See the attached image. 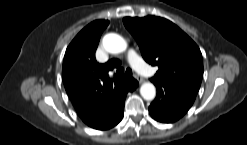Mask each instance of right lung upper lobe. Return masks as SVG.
<instances>
[{"label": "right lung upper lobe", "mask_w": 247, "mask_h": 145, "mask_svg": "<svg viewBox=\"0 0 247 145\" xmlns=\"http://www.w3.org/2000/svg\"><path fill=\"white\" fill-rule=\"evenodd\" d=\"M109 24L96 20L82 29L68 46L62 67L66 92L80 118L87 124L113 109L128 78L112 81L108 72L117 60L100 64L95 59L100 36Z\"/></svg>", "instance_id": "1"}]
</instances>
